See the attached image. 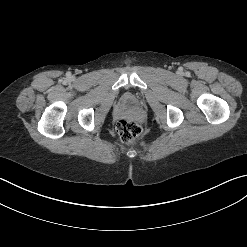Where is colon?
I'll use <instances>...</instances> for the list:
<instances>
[{"label": "colon", "instance_id": "5ec220e1", "mask_svg": "<svg viewBox=\"0 0 247 247\" xmlns=\"http://www.w3.org/2000/svg\"><path fill=\"white\" fill-rule=\"evenodd\" d=\"M116 131L122 142L133 143L142 132L141 125L132 119H121L116 124Z\"/></svg>", "mask_w": 247, "mask_h": 247}]
</instances>
